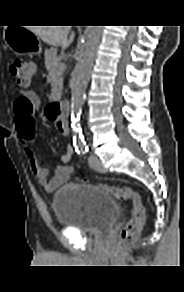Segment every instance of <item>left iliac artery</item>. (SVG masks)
Returning <instances> with one entry per match:
<instances>
[{
	"label": "left iliac artery",
	"mask_w": 184,
	"mask_h": 292,
	"mask_svg": "<svg viewBox=\"0 0 184 292\" xmlns=\"http://www.w3.org/2000/svg\"><path fill=\"white\" fill-rule=\"evenodd\" d=\"M84 153H87L88 152V146H82L80 148Z\"/></svg>",
	"instance_id": "left-iliac-artery-1"
}]
</instances>
